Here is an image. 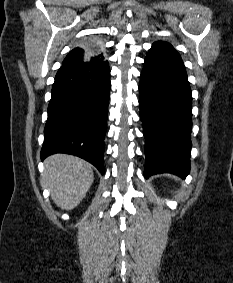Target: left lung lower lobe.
<instances>
[{
	"mask_svg": "<svg viewBox=\"0 0 233 283\" xmlns=\"http://www.w3.org/2000/svg\"><path fill=\"white\" fill-rule=\"evenodd\" d=\"M140 118L146 139L144 176L190 170L192 96L183 61L166 42L149 50L139 84Z\"/></svg>",
	"mask_w": 233,
	"mask_h": 283,
	"instance_id": "left-lung-lower-lobe-1",
	"label": "left lung lower lobe"
}]
</instances>
